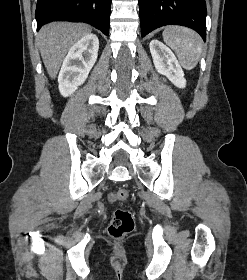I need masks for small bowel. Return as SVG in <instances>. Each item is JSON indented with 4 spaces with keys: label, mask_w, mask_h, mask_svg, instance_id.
Instances as JSON below:
<instances>
[{
    "label": "small bowel",
    "mask_w": 247,
    "mask_h": 280,
    "mask_svg": "<svg viewBox=\"0 0 247 280\" xmlns=\"http://www.w3.org/2000/svg\"><path fill=\"white\" fill-rule=\"evenodd\" d=\"M110 199H113V194H110Z\"/></svg>",
    "instance_id": "obj_1"
}]
</instances>
